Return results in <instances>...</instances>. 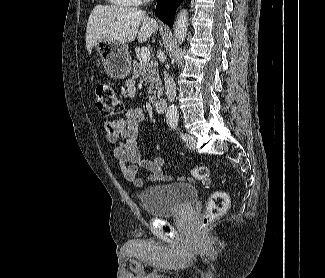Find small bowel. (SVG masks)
<instances>
[{"label": "small bowel", "instance_id": "small-bowel-1", "mask_svg": "<svg viewBox=\"0 0 325 278\" xmlns=\"http://www.w3.org/2000/svg\"><path fill=\"white\" fill-rule=\"evenodd\" d=\"M126 92L130 100L135 97L136 90L132 81H127ZM145 120L146 114L143 109L129 108L122 117L108 121L104 126L105 137L112 144V153L118 168L125 179L136 186L143 184L139 176L140 169L149 171L148 181L169 180V176L162 170L163 158L145 159L141 156L137 136Z\"/></svg>", "mask_w": 325, "mask_h": 278}]
</instances>
